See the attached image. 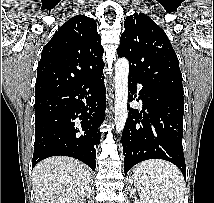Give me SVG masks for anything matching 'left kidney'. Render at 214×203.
<instances>
[{
    "label": "left kidney",
    "mask_w": 214,
    "mask_h": 203,
    "mask_svg": "<svg viewBox=\"0 0 214 203\" xmlns=\"http://www.w3.org/2000/svg\"><path fill=\"white\" fill-rule=\"evenodd\" d=\"M134 203H144L143 201L135 200Z\"/></svg>",
    "instance_id": "1"
}]
</instances>
